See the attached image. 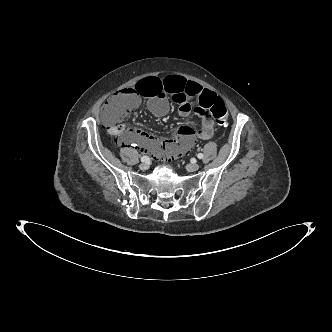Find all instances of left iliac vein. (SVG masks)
Here are the masks:
<instances>
[{"instance_id": "4c4485c4", "label": "left iliac vein", "mask_w": 332, "mask_h": 332, "mask_svg": "<svg viewBox=\"0 0 332 332\" xmlns=\"http://www.w3.org/2000/svg\"><path fill=\"white\" fill-rule=\"evenodd\" d=\"M199 168H200V166H199L198 164H196V163H191V164H188V165L186 166V169H187L188 171H190V172L197 171V170H199Z\"/></svg>"}]
</instances>
